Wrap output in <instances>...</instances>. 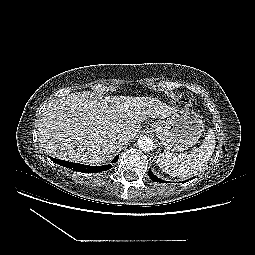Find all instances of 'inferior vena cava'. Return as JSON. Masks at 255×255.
<instances>
[{"label":"inferior vena cava","instance_id":"obj_1","mask_svg":"<svg viewBox=\"0 0 255 255\" xmlns=\"http://www.w3.org/2000/svg\"><path fill=\"white\" fill-rule=\"evenodd\" d=\"M115 140H116V142L118 144H122L123 145L124 143H126L129 140V137L127 135H125V134H118L116 136Z\"/></svg>","mask_w":255,"mask_h":255}]
</instances>
